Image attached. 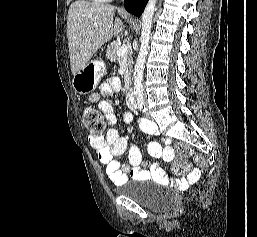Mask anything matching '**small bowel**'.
<instances>
[{"label": "small bowel", "instance_id": "1", "mask_svg": "<svg viewBox=\"0 0 257 237\" xmlns=\"http://www.w3.org/2000/svg\"><path fill=\"white\" fill-rule=\"evenodd\" d=\"M121 82L118 78H109L100 85V93L110 95L120 90ZM90 103H97L99 110L104 114L109 125L116 122L112 104L107 100H101L99 93H93L88 98ZM132 114L127 112L125 120H132ZM143 132L154 134L156 126L153 122L146 119L139 121ZM88 141L94 149L98 160L105 166V171L109 179L115 184H123L127 180V174L134 180H143L153 178L159 182H173L172 176L168 175L158 164H153L150 170L143 168V158L138 147L133 145L128 136L122 134L117 128H110L104 136L96 137L90 135ZM163 143L170 142L165 138ZM149 154L153 157L162 156L165 160L173 158V151L170 148H164L161 143L153 141L148 146ZM128 153V163L121 165L115 158ZM203 165L204 163L201 162ZM200 170L195 169L188 180L193 182L199 178Z\"/></svg>", "mask_w": 257, "mask_h": 237}]
</instances>
